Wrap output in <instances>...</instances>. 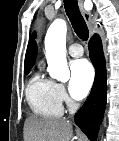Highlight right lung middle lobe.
I'll use <instances>...</instances> for the list:
<instances>
[{
  "label": "right lung middle lobe",
  "mask_w": 119,
  "mask_h": 141,
  "mask_svg": "<svg viewBox=\"0 0 119 141\" xmlns=\"http://www.w3.org/2000/svg\"><path fill=\"white\" fill-rule=\"evenodd\" d=\"M25 72V74H28L29 73V71H24Z\"/></svg>",
  "instance_id": "obj_1"
}]
</instances>
